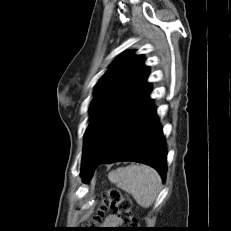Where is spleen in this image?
Returning a JSON list of instances; mask_svg holds the SVG:
<instances>
[{"mask_svg": "<svg viewBox=\"0 0 231 231\" xmlns=\"http://www.w3.org/2000/svg\"><path fill=\"white\" fill-rule=\"evenodd\" d=\"M108 178L117 187L131 194L144 208H149L153 204L162 185L158 172L146 165L118 168L111 172Z\"/></svg>", "mask_w": 231, "mask_h": 231, "instance_id": "1", "label": "spleen"}]
</instances>
